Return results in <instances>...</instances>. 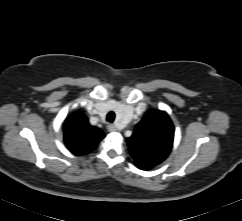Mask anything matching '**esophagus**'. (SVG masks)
Masks as SVG:
<instances>
[{
    "mask_svg": "<svg viewBox=\"0 0 242 221\" xmlns=\"http://www.w3.org/2000/svg\"><path fill=\"white\" fill-rule=\"evenodd\" d=\"M107 129H108L109 132H115V131H117V127L114 124H109L107 126Z\"/></svg>",
    "mask_w": 242,
    "mask_h": 221,
    "instance_id": "esophagus-1",
    "label": "esophagus"
}]
</instances>
